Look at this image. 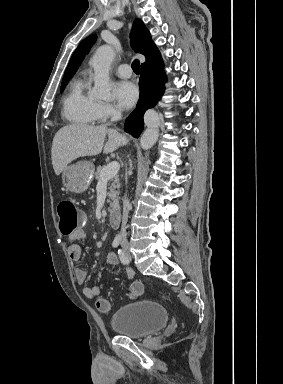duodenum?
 Segmentation results:
<instances>
[{
	"label": "duodenum",
	"mask_w": 283,
	"mask_h": 384,
	"mask_svg": "<svg viewBox=\"0 0 283 384\" xmlns=\"http://www.w3.org/2000/svg\"><path fill=\"white\" fill-rule=\"evenodd\" d=\"M108 221L113 227H118L120 222V213L115 210L109 213Z\"/></svg>",
	"instance_id": "1"
}]
</instances>
